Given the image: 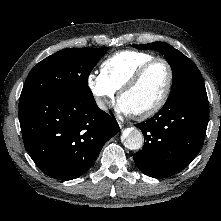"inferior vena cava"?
Wrapping results in <instances>:
<instances>
[{"label":"inferior vena cava","instance_id":"1","mask_svg":"<svg viewBox=\"0 0 221 221\" xmlns=\"http://www.w3.org/2000/svg\"><path fill=\"white\" fill-rule=\"evenodd\" d=\"M96 102H97V105L99 106V108H101L103 110L107 109L106 105L108 104V101L103 100L101 98H97Z\"/></svg>","mask_w":221,"mask_h":221}]
</instances>
